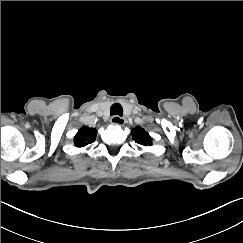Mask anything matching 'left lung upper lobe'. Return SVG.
Returning <instances> with one entry per match:
<instances>
[{
  "label": "left lung upper lobe",
  "mask_w": 243,
  "mask_h": 243,
  "mask_svg": "<svg viewBox=\"0 0 243 243\" xmlns=\"http://www.w3.org/2000/svg\"><path fill=\"white\" fill-rule=\"evenodd\" d=\"M132 135H133V139L135 140L136 143H139L141 145L146 146L151 145L152 143V139L150 137V135L144 131L143 128L141 127H136L132 130Z\"/></svg>",
  "instance_id": "obj_1"
}]
</instances>
